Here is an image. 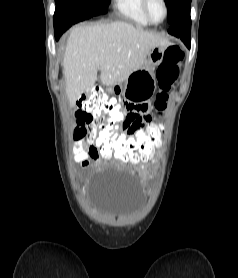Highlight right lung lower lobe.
<instances>
[{
	"label": "right lung lower lobe",
	"mask_w": 238,
	"mask_h": 278,
	"mask_svg": "<svg viewBox=\"0 0 238 278\" xmlns=\"http://www.w3.org/2000/svg\"><path fill=\"white\" fill-rule=\"evenodd\" d=\"M88 18H91L90 14L75 4H57L54 13V31L56 40H58L62 33H64L70 26Z\"/></svg>",
	"instance_id": "1"
}]
</instances>
